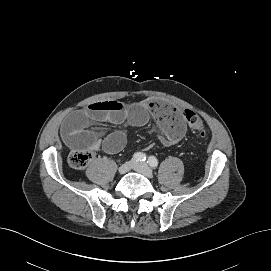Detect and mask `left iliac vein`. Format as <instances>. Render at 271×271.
Wrapping results in <instances>:
<instances>
[{"label": "left iliac vein", "mask_w": 271, "mask_h": 271, "mask_svg": "<svg viewBox=\"0 0 271 271\" xmlns=\"http://www.w3.org/2000/svg\"><path fill=\"white\" fill-rule=\"evenodd\" d=\"M134 169L137 172H139V173H141V174H143V175H145V176H147L149 178H151L153 176L152 170L145 163H137V164H135Z\"/></svg>", "instance_id": "4c4485c4"}]
</instances>
